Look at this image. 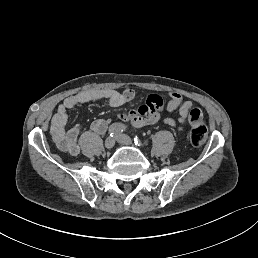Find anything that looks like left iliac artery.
I'll return each instance as SVG.
<instances>
[{
	"instance_id": "left-iliac-artery-1",
	"label": "left iliac artery",
	"mask_w": 258,
	"mask_h": 258,
	"mask_svg": "<svg viewBox=\"0 0 258 258\" xmlns=\"http://www.w3.org/2000/svg\"><path fill=\"white\" fill-rule=\"evenodd\" d=\"M134 144L136 146H148L149 142L148 141H145V142H141L140 139L138 138L137 135L134 136Z\"/></svg>"
}]
</instances>
